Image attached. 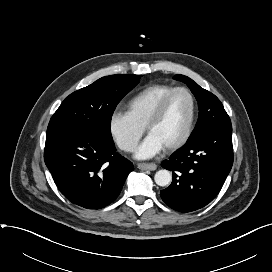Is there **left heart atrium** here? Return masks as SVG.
<instances>
[{"label":"left heart atrium","mask_w":272,"mask_h":272,"mask_svg":"<svg viewBox=\"0 0 272 272\" xmlns=\"http://www.w3.org/2000/svg\"><path fill=\"white\" fill-rule=\"evenodd\" d=\"M165 147L153 134H148L143 142L137 147L135 157L138 159L151 158L160 153Z\"/></svg>","instance_id":"1"}]
</instances>
